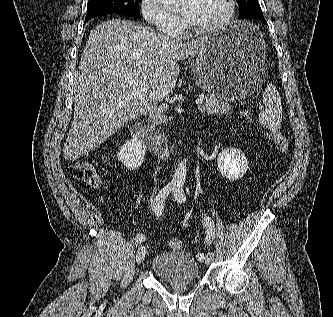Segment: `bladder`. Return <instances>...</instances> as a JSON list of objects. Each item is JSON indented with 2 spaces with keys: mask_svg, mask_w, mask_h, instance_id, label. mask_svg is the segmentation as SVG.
I'll list each match as a JSON object with an SVG mask.
<instances>
[{
  "mask_svg": "<svg viewBox=\"0 0 333 317\" xmlns=\"http://www.w3.org/2000/svg\"><path fill=\"white\" fill-rule=\"evenodd\" d=\"M151 271L160 280L172 285H186L200 278V266L187 251L161 252L151 260Z\"/></svg>",
  "mask_w": 333,
  "mask_h": 317,
  "instance_id": "31cf9c89",
  "label": "bladder"
}]
</instances>
